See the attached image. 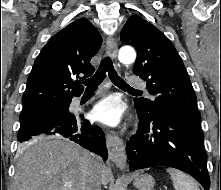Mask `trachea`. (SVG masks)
Masks as SVG:
<instances>
[{
    "label": "trachea",
    "instance_id": "obj_1",
    "mask_svg": "<svg viewBox=\"0 0 221 190\" xmlns=\"http://www.w3.org/2000/svg\"><path fill=\"white\" fill-rule=\"evenodd\" d=\"M106 72L109 75V78L115 84L116 86L127 89V90H133L138 91L132 87H130L115 71L113 63L110 59V57H105L102 59L100 66L96 73L89 79H87L84 84L87 86L86 89H96L98 85L103 81V79L106 77Z\"/></svg>",
    "mask_w": 221,
    "mask_h": 190
}]
</instances>
